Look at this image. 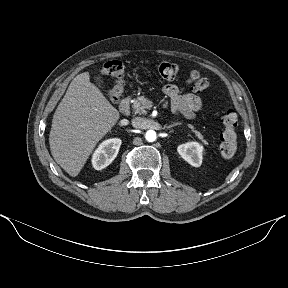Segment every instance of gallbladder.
I'll return each mask as SVG.
<instances>
[{
    "mask_svg": "<svg viewBox=\"0 0 288 288\" xmlns=\"http://www.w3.org/2000/svg\"><path fill=\"white\" fill-rule=\"evenodd\" d=\"M96 80H97V81H101V78H100V77H96Z\"/></svg>",
    "mask_w": 288,
    "mask_h": 288,
    "instance_id": "bac80fb5",
    "label": "gallbladder"
}]
</instances>
